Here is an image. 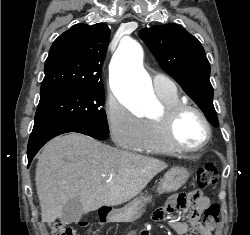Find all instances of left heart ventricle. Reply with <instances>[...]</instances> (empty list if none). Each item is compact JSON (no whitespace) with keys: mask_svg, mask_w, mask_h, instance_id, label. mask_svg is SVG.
<instances>
[{"mask_svg":"<svg viewBox=\"0 0 250 235\" xmlns=\"http://www.w3.org/2000/svg\"><path fill=\"white\" fill-rule=\"evenodd\" d=\"M206 134L202 119L195 112L183 113L176 124L175 135L180 144L188 147L199 145Z\"/></svg>","mask_w":250,"mask_h":235,"instance_id":"b2bd125f","label":"left heart ventricle"}]
</instances>
